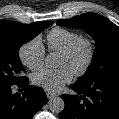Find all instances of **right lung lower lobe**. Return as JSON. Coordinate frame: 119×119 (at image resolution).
<instances>
[{"label":"right lung lower lobe","mask_w":119,"mask_h":119,"mask_svg":"<svg viewBox=\"0 0 119 119\" xmlns=\"http://www.w3.org/2000/svg\"><path fill=\"white\" fill-rule=\"evenodd\" d=\"M25 92L12 93L13 85L0 86V119H32L47 102L45 92L35 86H29L27 77L18 84Z\"/></svg>","instance_id":"98d812e1"}]
</instances>
